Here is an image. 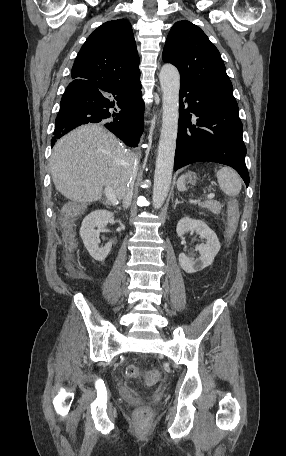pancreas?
Listing matches in <instances>:
<instances>
[{
	"label": "pancreas",
	"mask_w": 286,
	"mask_h": 456,
	"mask_svg": "<svg viewBox=\"0 0 286 456\" xmlns=\"http://www.w3.org/2000/svg\"><path fill=\"white\" fill-rule=\"evenodd\" d=\"M200 206L210 210L213 214H219L222 208V205L219 202L213 200L201 203Z\"/></svg>",
	"instance_id": "1"
}]
</instances>
